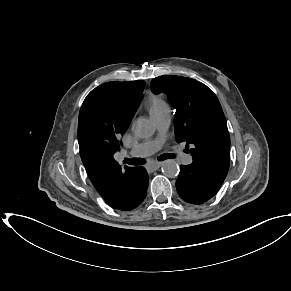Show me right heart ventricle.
Segmentation results:
<instances>
[{
  "instance_id": "e07e8e85",
  "label": "right heart ventricle",
  "mask_w": 291,
  "mask_h": 291,
  "mask_svg": "<svg viewBox=\"0 0 291 291\" xmlns=\"http://www.w3.org/2000/svg\"><path fill=\"white\" fill-rule=\"evenodd\" d=\"M150 115L169 110L167 103L158 95L150 94L146 102Z\"/></svg>"
}]
</instances>
